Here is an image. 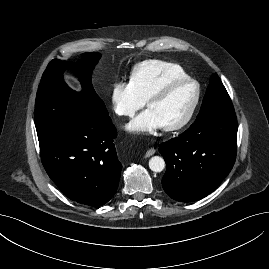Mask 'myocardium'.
<instances>
[{
	"label": "myocardium",
	"instance_id": "myocardium-1",
	"mask_svg": "<svg viewBox=\"0 0 269 269\" xmlns=\"http://www.w3.org/2000/svg\"><path fill=\"white\" fill-rule=\"evenodd\" d=\"M185 84H193L195 86V96H194L193 102H192L189 110L187 111L186 115L183 117V119L180 120L176 124L163 127L165 131H168V132L179 131V130H182L183 128H185L190 123V121L192 120V118H193V116L198 108V105H199L200 99H201V87H200L199 82L193 78H190V77L173 80V81L167 83L162 88L155 91L146 100V106L148 107L151 103L165 98L173 89H175L179 86L185 85Z\"/></svg>",
	"mask_w": 269,
	"mask_h": 269
}]
</instances>
